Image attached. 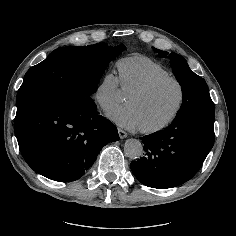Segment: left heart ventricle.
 I'll use <instances>...</instances> for the list:
<instances>
[{"instance_id": "obj_1", "label": "left heart ventricle", "mask_w": 236, "mask_h": 236, "mask_svg": "<svg viewBox=\"0 0 236 236\" xmlns=\"http://www.w3.org/2000/svg\"><path fill=\"white\" fill-rule=\"evenodd\" d=\"M179 97L177 85L168 82L147 95H129L127 103L136 110L140 127H153L166 120L173 113L179 102Z\"/></svg>"}]
</instances>
